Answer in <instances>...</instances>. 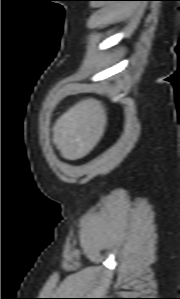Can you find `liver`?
<instances>
[{
	"label": "liver",
	"mask_w": 180,
	"mask_h": 299,
	"mask_svg": "<svg viewBox=\"0 0 180 299\" xmlns=\"http://www.w3.org/2000/svg\"><path fill=\"white\" fill-rule=\"evenodd\" d=\"M106 123L107 113L101 101L81 100L57 119L53 142L63 158H83L103 136Z\"/></svg>",
	"instance_id": "liver-1"
}]
</instances>
